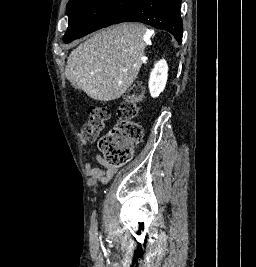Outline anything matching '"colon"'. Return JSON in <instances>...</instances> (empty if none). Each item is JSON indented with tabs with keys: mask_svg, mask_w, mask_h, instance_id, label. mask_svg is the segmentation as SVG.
Listing matches in <instances>:
<instances>
[{
	"mask_svg": "<svg viewBox=\"0 0 256 267\" xmlns=\"http://www.w3.org/2000/svg\"><path fill=\"white\" fill-rule=\"evenodd\" d=\"M143 86H132L124 96L118 107L119 122L104 135L99 142V147L110 165H123L130 161L135 146L141 141L142 130L135 121L141 114L143 101ZM110 117L106 107H92L89 109V119L82 125V134L85 140L94 139L105 128Z\"/></svg>",
	"mask_w": 256,
	"mask_h": 267,
	"instance_id": "1",
	"label": "colon"
}]
</instances>
